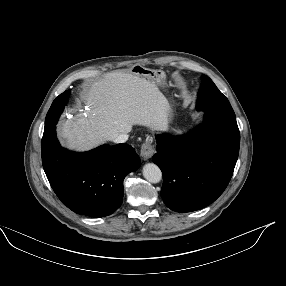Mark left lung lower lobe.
<instances>
[{"label": "left lung lower lobe", "instance_id": "1", "mask_svg": "<svg viewBox=\"0 0 286 286\" xmlns=\"http://www.w3.org/2000/svg\"><path fill=\"white\" fill-rule=\"evenodd\" d=\"M205 122L188 135H156L152 161L163 173L161 196L176 212L215 201L227 187L239 154L236 117L205 111Z\"/></svg>", "mask_w": 286, "mask_h": 286}]
</instances>
